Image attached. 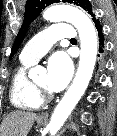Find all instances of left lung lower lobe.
Here are the masks:
<instances>
[{
	"label": "left lung lower lobe",
	"mask_w": 117,
	"mask_h": 136,
	"mask_svg": "<svg viewBox=\"0 0 117 136\" xmlns=\"http://www.w3.org/2000/svg\"><path fill=\"white\" fill-rule=\"evenodd\" d=\"M92 20L94 22V26H95L96 33H97V40H98V45H99L98 49L100 53L98 54V57H100V60H99L100 67L103 68L105 64V55H106L103 28H102V25L100 24V21L96 18L95 14L92 15Z\"/></svg>",
	"instance_id": "left-lung-lower-lobe-1"
}]
</instances>
